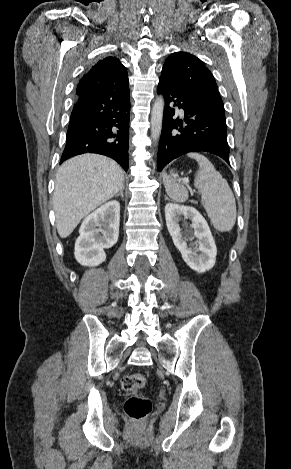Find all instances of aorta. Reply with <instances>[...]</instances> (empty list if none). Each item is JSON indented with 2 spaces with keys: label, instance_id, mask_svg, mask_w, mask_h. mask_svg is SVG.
<instances>
[{
  "label": "aorta",
  "instance_id": "obj_1",
  "mask_svg": "<svg viewBox=\"0 0 291 469\" xmlns=\"http://www.w3.org/2000/svg\"><path fill=\"white\" fill-rule=\"evenodd\" d=\"M164 99L162 96H159L151 112V138L154 141H157L160 137L162 124H163V113H164Z\"/></svg>",
  "mask_w": 291,
  "mask_h": 469
}]
</instances>
